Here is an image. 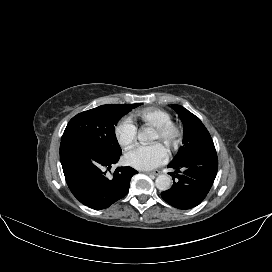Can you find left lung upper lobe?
<instances>
[{
    "label": "left lung upper lobe",
    "instance_id": "1",
    "mask_svg": "<svg viewBox=\"0 0 272 272\" xmlns=\"http://www.w3.org/2000/svg\"><path fill=\"white\" fill-rule=\"evenodd\" d=\"M177 112L184 126L183 146L172 162H178L203 149L214 147L213 140L198 117L180 105H171Z\"/></svg>",
    "mask_w": 272,
    "mask_h": 272
}]
</instances>
